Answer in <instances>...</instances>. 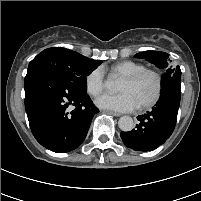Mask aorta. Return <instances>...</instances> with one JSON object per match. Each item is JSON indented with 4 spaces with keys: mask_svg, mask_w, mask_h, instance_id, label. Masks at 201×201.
<instances>
[{
    "mask_svg": "<svg viewBox=\"0 0 201 201\" xmlns=\"http://www.w3.org/2000/svg\"><path fill=\"white\" fill-rule=\"evenodd\" d=\"M105 86L109 91L115 92L119 88V83L116 79L109 77L105 81ZM118 126L124 132L131 131L134 128L133 119L130 116H122L118 121Z\"/></svg>",
    "mask_w": 201,
    "mask_h": 201,
    "instance_id": "obj_1",
    "label": "aorta"
}]
</instances>
